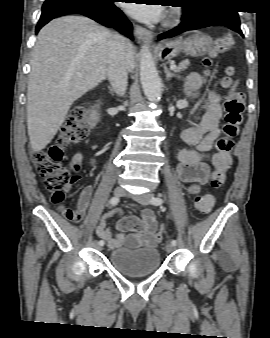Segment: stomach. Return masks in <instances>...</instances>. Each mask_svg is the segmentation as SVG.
Listing matches in <instances>:
<instances>
[{"label":"stomach","instance_id":"stomach-1","mask_svg":"<svg viewBox=\"0 0 270 338\" xmlns=\"http://www.w3.org/2000/svg\"><path fill=\"white\" fill-rule=\"evenodd\" d=\"M211 38L201 33H191L187 37L163 42L158 47V56L161 60H170L180 53L193 57L207 54L211 49Z\"/></svg>","mask_w":270,"mask_h":338}]
</instances>
